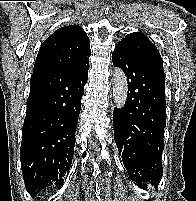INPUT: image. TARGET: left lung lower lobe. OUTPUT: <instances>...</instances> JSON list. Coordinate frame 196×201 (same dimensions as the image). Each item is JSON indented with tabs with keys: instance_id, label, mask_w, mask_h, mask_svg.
Listing matches in <instances>:
<instances>
[{
	"instance_id": "1",
	"label": "left lung lower lobe",
	"mask_w": 196,
	"mask_h": 201,
	"mask_svg": "<svg viewBox=\"0 0 196 201\" xmlns=\"http://www.w3.org/2000/svg\"><path fill=\"white\" fill-rule=\"evenodd\" d=\"M113 64L127 76V101L113 113L114 138L129 176L141 186L161 180L164 149L165 74L117 44Z\"/></svg>"
}]
</instances>
